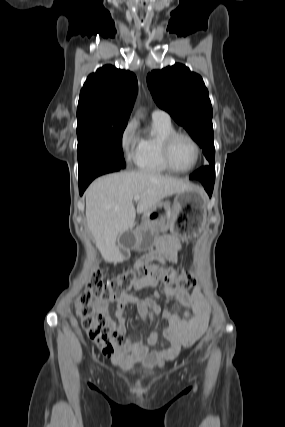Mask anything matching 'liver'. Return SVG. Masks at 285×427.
<instances>
[{
  "instance_id": "1",
  "label": "liver",
  "mask_w": 285,
  "mask_h": 427,
  "mask_svg": "<svg viewBox=\"0 0 285 427\" xmlns=\"http://www.w3.org/2000/svg\"><path fill=\"white\" fill-rule=\"evenodd\" d=\"M183 180L151 172H121L96 179L86 191V218L96 247L105 261H117L116 238L161 200L192 189ZM140 196L135 210L133 198Z\"/></svg>"
}]
</instances>
